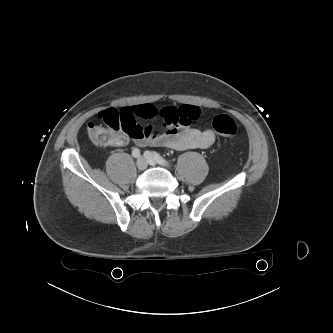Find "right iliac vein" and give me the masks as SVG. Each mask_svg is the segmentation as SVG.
Instances as JSON below:
<instances>
[{"instance_id":"63e3f726","label":"right iliac vein","mask_w":333,"mask_h":333,"mask_svg":"<svg viewBox=\"0 0 333 333\" xmlns=\"http://www.w3.org/2000/svg\"><path fill=\"white\" fill-rule=\"evenodd\" d=\"M136 164H137L138 170H140V171H143L147 168V161L144 157H139L137 159Z\"/></svg>"}]
</instances>
